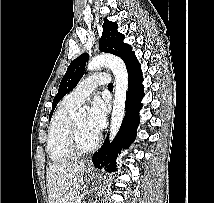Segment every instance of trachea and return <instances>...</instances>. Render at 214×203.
<instances>
[{
	"label": "trachea",
	"mask_w": 214,
	"mask_h": 203,
	"mask_svg": "<svg viewBox=\"0 0 214 203\" xmlns=\"http://www.w3.org/2000/svg\"><path fill=\"white\" fill-rule=\"evenodd\" d=\"M108 87H109V88H113V84H112V83H109V84H108Z\"/></svg>",
	"instance_id": "obj_1"
}]
</instances>
